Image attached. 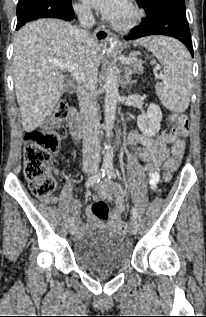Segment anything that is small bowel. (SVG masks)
I'll list each match as a JSON object with an SVG mask.
<instances>
[{
	"mask_svg": "<svg viewBox=\"0 0 206 317\" xmlns=\"http://www.w3.org/2000/svg\"><path fill=\"white\" fill-rule=\"evenodd\" d=\"M180 139L170 133H163L155 138H151L140 133H134L131 136V141L134 144H139L137 152L142 160L147 163V170L149 172V184L151 188L156 189L159 175L157 168L163 160L169 155V145L175 144ZM99 196L102 198H114L115 207L110 213V226L118 221L121 213L124 211V196L125 193L121 186H105L99 184L96 186ZM97 199V198H96ZM51 203H56V198L49 200ZM70 210L76 216L77 237H85L90 228H104L103 222L98 219L90 209H87L88 226H84L78 218L81 211L80 205L76 200L70 201Z\"/></svg>",
	"mask_w": 206,
	"mask_h": 317,
	"instance_id": "obj_1",
	"label": "small bowel"
}]
</instances>
